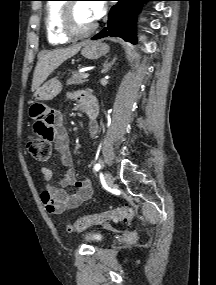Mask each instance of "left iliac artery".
<instances>
[{"instance_id":"1","label":"left iliac artery","mask_w":216,"mask_h":285,"mask_svg":"<svg viewBox=\"0 0 216 285\" xmlns=\"http://www.w3.org/2000/svg\"><path fill=\"white\" fill-rule=\"evenodd\" d=\"M100 169H101V164L98 163L94 166L95 171H99Z\"/></svg>"}]
</instances>
